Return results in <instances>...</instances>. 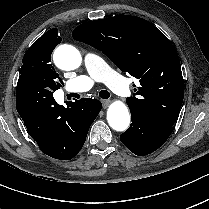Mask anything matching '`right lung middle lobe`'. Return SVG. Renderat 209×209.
I'll return each mask as SVG.
<instances>
[{
  "mask_svg": "<svg viewBox=\"0 0 209 209\" xmlns=\"http://www.w3.org/2000/svg\"><path fill=\"white\" fill-rule=\"evenodd\" d=\"M56 43L51 40H37L25 53L21 67L20 82H28L53 94L63 83L56 73L51 54Z\"/></svg>",
  "mask_w": 209,
  "mask_h": 209,
  "instance_id": "dd1d6c3e",
  "label": "right lung middle lobe"
}]
</instances>
